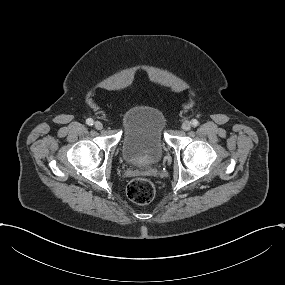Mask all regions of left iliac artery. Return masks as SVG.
Returning a JSON list of instances; mask_svg holds the SVG:
<instances>
[{"mask_svg":"<svg viewBox=\"0 0 285 285\" xmlns=\"http://www.w3.org/2000/svg\"><path fill=\"white\" fill-rule=\"evenodd\" d=\"M191 124H192V126L196 127V126L199 125V122H198V120L193 119V120L191 121Z\"/></svg>","mask_w":285,"mask_h":285,"instance_id":"left-iliac-artery-1","label":"left iliac artery"}]
</instances>
